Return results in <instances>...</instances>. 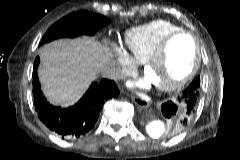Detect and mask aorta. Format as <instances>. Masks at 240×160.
I'll return each mask as SVG.
<instances>
[{
    "instance_id": "1",
    "label": "aorta",
    "mask_w": 240,
    "mask_h": 160,
    "mask_svg": "<svg viewBox=\"0 0 240 160\" xmlns=\"http://www.w3.org/2000/svg\"><path fill=\"white\" fill-rule=\"evenodd\" d=\"M146 131L152 138H159L167 131V125L161 119L152 117L147 120Z\"/></svg>"
}]
</instances>
